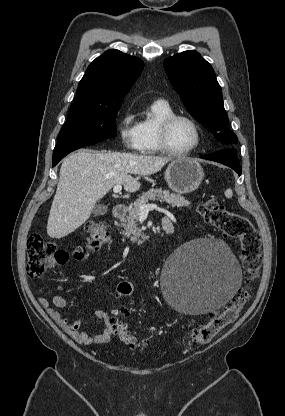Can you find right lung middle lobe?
Returning a JSON list of instances; mask_svg holds the SVG:
<instances>
[{
  "instance_id": "right-lung-middle-lobe-1",
  "label": "right lung middle lobe",
  "mask_w": 285,
  "mask_h": 416,
  "mask_svg": "<svg viewBox=\"0 0 285 416\" xmlns=\"http://www.w3.org/2000/svg\"><path fill=\"white\" fill-rule=\"evenodd\" d=\"M122 101L106 103L73 102L57 143L105 140L117 134L116 116Z\"/></svg>"
}]
</instances>
